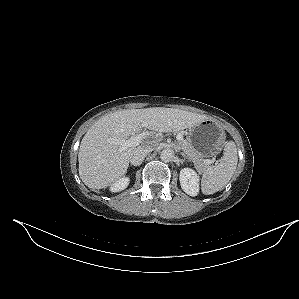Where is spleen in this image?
Returning <instances> with one entry per match:
<instances>
[{"instance_id": "1", "label": "spleen", "mask_w": 299, "mask_h": 299, "mask_svg": "<svg viewBox=\"0 0 299 299\" xmlns=\"http://www.w3.org/2000/svg\"><path fill=\"white\" fill-rule=\"evenodd\" d=\"M237 148L233 141H229L219 164L209 166L203 171L201 190L205 195H210L222 190L229 182L237 167Z\"/></svg>"}]
</instances>
